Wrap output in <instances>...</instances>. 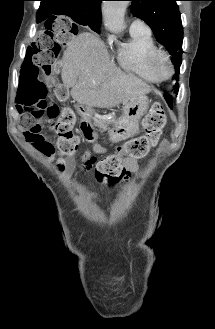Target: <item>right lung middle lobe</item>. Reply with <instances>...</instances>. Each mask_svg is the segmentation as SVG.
<instances>
[{
    "label": "right lung middle lobe",
    "mask_w": 215,
    "mask_h": 329,
    "mask_svg": "<svg viewBox=\"0 0 215 329\" xmlns=\"http://www.w3.org/2000/svg\"><path fill=\"white\" fill-rule=\"evenodd\" d=\"M67 16L71 17L76 23L80 24V25H87L89 26L93 31L100 33L99 28H100V22H87L81 15L79 14H67ZM42 20H40L39 22H41ZM76 27V25H75ZM76 33V32H74Z\"/></svg>",
    "instance_id": "obj_1"
}]
</instances>
